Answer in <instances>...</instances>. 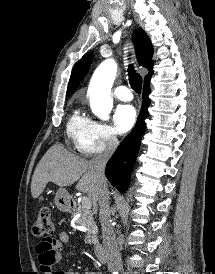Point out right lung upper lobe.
<instances>
[{"mask_svg": "<svg viewBox=\"0 0 215 274\" xmlns=\"http://www.w3.org/2000/svg\"><path fill=\"white\" fill-rule=\"evenodd\" d=\"M133 41L138 63L149 70V74L145 77V83H148L150 82L153 74L152 44L149 37L142 29H137L134 31ZM92 59L93 53H87L75 64L69 80L66 96H69L77 88L80 80L87 73Z\"/></svg>", "mask_w": 215, "mask_h": 274, "instance_id": "obj_1", "label": "right lung upper lobe"}]
</instances>
